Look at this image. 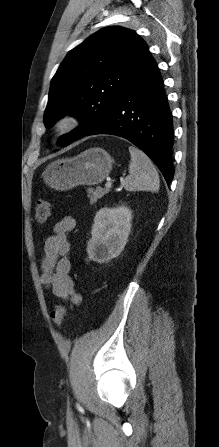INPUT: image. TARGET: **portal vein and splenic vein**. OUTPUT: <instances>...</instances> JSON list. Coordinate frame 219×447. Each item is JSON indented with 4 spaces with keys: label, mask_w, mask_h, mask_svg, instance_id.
Here are the masks:
<instances>
[{
    "label": "portal vein and splenic vein",
    "mask_w": 219,
    "mask_h": 447,
    "mask_svg": "<svg viewBox=\"0 0 219 447\" xmlns=\"http://www.w3.org/2000/svg\"><path fill=\"white\" fill-rule=\"evenodd\" d=\"M112 187V182L109 180L105 183V188L110 189Z\"/></svg>",
    "instance_id": "18ae733b"
}]
</instances>
